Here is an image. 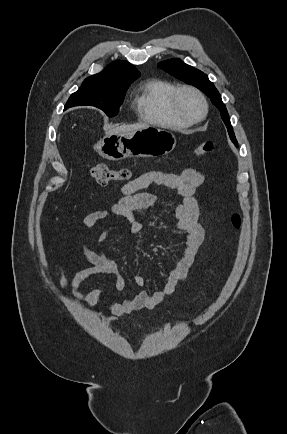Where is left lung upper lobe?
I'll use <instances>...</instances> for the list:
<instances>
[{
	"label": "left lung upper lobe",
	"mask_w": 287,
	"mask_h": 434,
	"mask_svg": "<svg viewBox=\"0 0 287 434\" xmlns=\"http://www.w3.org/2000/svg\"><path fill=\"white\" fill-rule=\"evenodd\" d=\"M158 66L172 76L194 85L203 91L221 112V117L227 127L230 139L235 145H237V140L232 130L228 112L222 102L221 95L215 88L214 84L209 81L208 76L202 71L183 63L177 58L160 62L158 63Z\"/></svg>",
	"instance_id": "obj_1"
}]
</instances>
